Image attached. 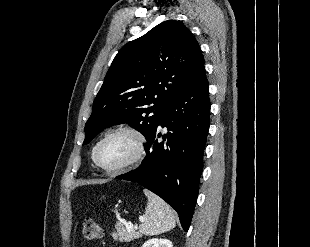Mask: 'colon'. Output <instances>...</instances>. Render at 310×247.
Returning a JSON list of instances; mask_svg holds the SVG:
<instances>
[{"label":"colon","mask_w":310,"mask_h":247,"mask_svg":"<svg viewBox=\"0 0 310 247\" xmlns=\"http://www.w3.org/2000/svg\"><path fill=\"white\" fill-rule=\"evenodd\" d=\"M83 236L87 241L98 240L102 236V229L96 221L86 219L84 222Z\"/></svg>","instance_id":"colon-1"}]
</instances>
